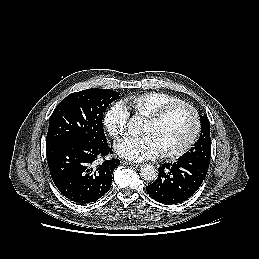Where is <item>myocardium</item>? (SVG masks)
Instances as JSON below:
<instances>
[{
	"instance_id": "f54148a6",
	"label": "myocardium",
	"mask_w": 259,
	"mask_h": 259,
	"mask_svg": "<svg viewBox=\"0 0 259 259\" xmlns=\"http://www.w3.org/2000/svg\"><path fill=\"white\" fill-rule=\"evenodd\" d=\"M179 108H186L188 109L194 119V128L193 131L191 133V135L189 136V138L177 149L169 151V152H162L159 153V156L162 159H176L181 157L182 155H184L192 146L193 144L196 142L200 131H201V118L200 115L197 111V109L184 101L181 102H176V103H172L169 104L163 108H161L160 110L156 111L155 113L151 114L150 116L146 117V121L150 124H158L161 121H163L166 117H168L172 112H174L175 110L179 109Z\"/></svg>"
}]
</instances>
